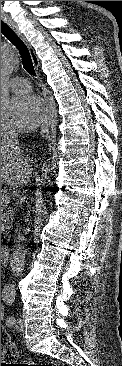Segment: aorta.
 <instances>
[{
	"mask_svg": "<svg viewBox=\"0 0 122 366\" xmlns=\"http://www.w3.org/2000/svg\"><path fill=\"white\" fill-rule=\"evenodd\" d=\"M20 62L18 53L8 44L1 46V112L5 113L9 107V80Z\"/></svg>",
	"mask_w": 122,
	"mask_h": 366,
	"instance_id": "762f6f07",
	"label": "aorta"
}]
</instances>
